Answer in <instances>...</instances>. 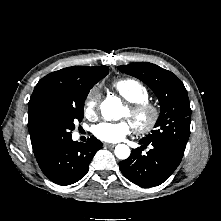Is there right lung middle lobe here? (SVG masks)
<instances>
[{
	"label": "right lung middle lobe",
	"instance_id": "dd1d6c3e",
	"mask_svg": "<svg viewBox=\"0 0 221 221\" xmlns=\"http://www.w3.org/2000/svg\"><path fill=\"white\" fill-rule=\"evenodd\" d=\"M99 80L76 88L46 112L41 122V133L47 144L71 136L75 129L74 122L83 119L84 102L89 90Z\"/></svg>",
	"mask_w": 221,
	"mask_h": 221
}]
</instances>
